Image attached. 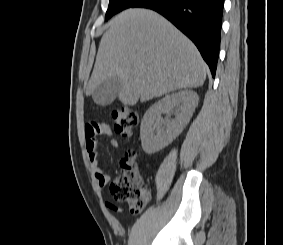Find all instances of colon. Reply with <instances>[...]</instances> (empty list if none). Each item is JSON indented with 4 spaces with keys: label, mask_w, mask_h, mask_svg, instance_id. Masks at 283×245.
<instances>
[{
    "label": "colon",
    "mask_w": 283,
    "mask_h": 245,
    "mask_svg": "<svg viewBox=\"0 0 283 245\" xmlns=\"http://www.w3.org/2000/svg\"><path fill=\"white\" fill-rule=\"evenodd\" d=\"M112 122L116 133L129 137L138 124V115L133 108L122 106L112 112ZM120 164L122 172L111 182L110 191L117 201L126 202L132 212H140L150 192L139 174L135 153L127 152Z\"/></svg>",
    "instance_id": "5ec220e1"
}]
</instances>
